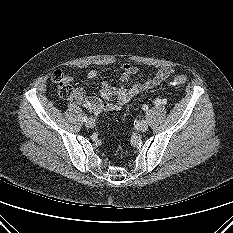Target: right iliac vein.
Returning a JSON list of instances; mask_svg holds the SVG:
<instances>
[{
    "instance_id": "63e3f726",
    "label": "right iliac vein",
    "mask_w": 233,
    "mask_h": 233,
    "mask_svg": "<svg viewBox=\"0 0 233 233\" xmlns=\"http://www.w3.org/2000/svg\"><path fill=\"white\" fill-rule=\"evenodd\" d=\"M86 127L93 128L95 126V120L92 118H89L85 122Z\"/></svg>"
}]
</instances>
